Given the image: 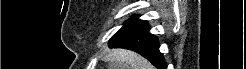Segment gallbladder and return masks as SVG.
Segmentation results:
<instances>
[{
  "label": "gallbladder",
  "mask_w": 246,
  "mask_h": 69,
  "mask_svg": "<svg viewBox=\"0 0 246 69\" xmlns=\"http://www.w3.org/2000/svg\"><path fill=\"white\" fill-rule=\"evenodd\" d=\"M108 69H115L114 66H111V63L108 65Z\"/></svg>",
  "instance_id": "bac80fb5"
}]
</instances>
